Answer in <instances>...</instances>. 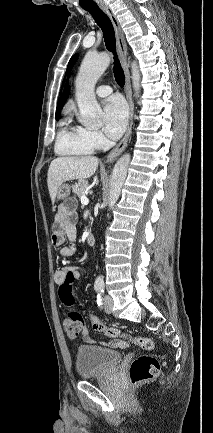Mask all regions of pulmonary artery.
<instances>
[{
	"mask_svg": "<svg viewBox=\"0 0 213 433\" xmlns=\"http://www.w3.org/2000/svg\"><path fill=\"white\" fill-rule=\"evenodd\" d=\"M112 92V88L108 85H101L99 87H97L96 89V94L99 97H106L108 95H110Z\"/></svg>",
	"mask_w": 213,
	"mask_h": 433,
	"instance_id": "e3ab8cb5",
	"label": "pulmonary artery"
}]
</instances>
